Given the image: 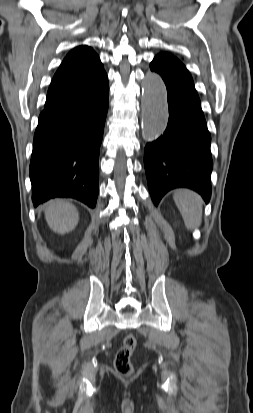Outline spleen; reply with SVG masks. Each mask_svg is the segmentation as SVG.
I'll return each mask as SVG.
<instances>
[{
  "mask_svg": "<svg viewBox=\"0 0 253 413\" xmlns=\"http://www.w3.org/2000/svg\"><path fill=\"white\" fill-rule=\"evenodd\" d=\"M173 198L186 228L189 230L198 228L202 222V198L197 193L187 189L176 191Z\"/></svg>",
  "mask_w": 253,
  "mask_h": 413,
  "instance_id": "1",
  "label": "spleen"
}]
</instances>
